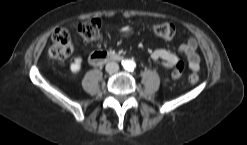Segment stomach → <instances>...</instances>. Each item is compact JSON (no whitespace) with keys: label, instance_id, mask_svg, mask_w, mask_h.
Returning a JSON list of instances; mask_svg holds the SVG:
<instances>
[{"label":"stomach","instance_id":"obj_1","mask_svg":"<svg viewBox=\"0 0 247 145\" xmlns=\"http://www.w3.org/2000/svg\"><path fill=\"white\" fill-rule=\"evenodd\" d=\"M125 34L128 36V35H130L131 34V30L130 29H127L126 31H125Z\"/></svg>","mask_w":247,"mask_h":145}]
</instances>
